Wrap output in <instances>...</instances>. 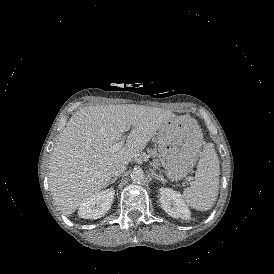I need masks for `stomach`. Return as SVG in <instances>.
Listing matches in <instances>:
<instances>
[{"label": "stomach", "instance_id": "stomach-1", "mask_svg": "<svg viewBox=\"0 0 274 274\" xmlns=\"http://www.w3.org/2000/svg\"><path fill=\"white\" fill-rule=\"evenodd\" d=\"M199 127L188 121L172 127L166 135L158 134L157 144L163 159L165 176L171 183L183 181L192 172L196 159L194 148L199 152L201 144L196 141Z\"/></svg>", "mask_w": 274, "mask_h": 274}]
</instances>
